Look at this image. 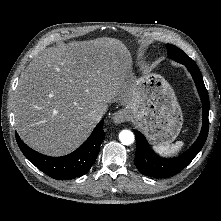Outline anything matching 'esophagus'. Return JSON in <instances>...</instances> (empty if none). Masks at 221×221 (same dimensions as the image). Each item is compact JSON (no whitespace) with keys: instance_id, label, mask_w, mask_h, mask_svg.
<instances>
[{"instance_id":"esophagus-1","label":"esophagus","mask_w":221,"mask_h":221,"mask_svg":"<svg viewBox=\"0 0 221 221\" xmlns=\"http://www.w3.org/2000/svg\"><path fill=\"white\" fill-rule=\"evenodd\" d=\"M127 119V111L125 109H120L114 113L112 120L115 124H121Z\"/></svg>"}]
</instances>
